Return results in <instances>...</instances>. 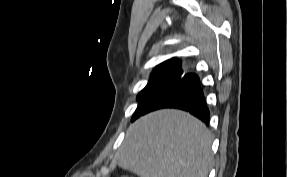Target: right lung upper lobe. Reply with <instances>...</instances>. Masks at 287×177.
<instances>
[{"instance_id": "cb5924a9", "label": "right lung upper lobe", "mask_w": 287, "mask_h": 177, "mask_svg": "<svg viewBox=\"0 0 287 177\" xmlns=\"http://www.w3.org/2000/svg\"><path fill=\"white\" fill-rule=\"evenodd\" d=\"M167 61H179V60L177 58H172V59L167 60ZM167 61H165V62H167Z\"/></svg>"}]
</instances>
